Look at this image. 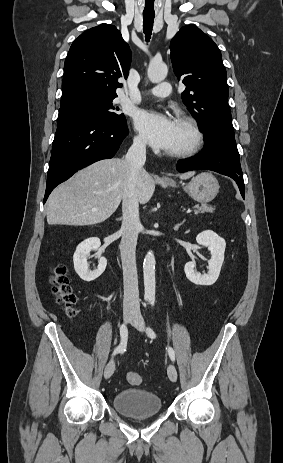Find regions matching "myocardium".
<instances>
[{"instance_id": "1", "label": "myocardium", "mask_w": 283, "mask_h": 463, "mask_svg": "<svg viewBox=\"0 0 283 463\" xmlns=\"http://www.w3.org/2000/svg\"><path fill=\"white\" fill-rule=\"evenodd\" d=\"M177 122L183 124L191 133L192 141L189 146L175 151H168L167 155L173 158H187L199 152L203 145L204 135L199 123L191 116L182 115Z\"/></svg>"}]
</instances>
